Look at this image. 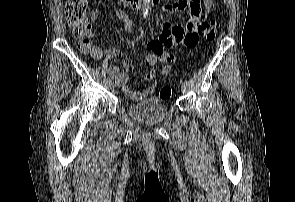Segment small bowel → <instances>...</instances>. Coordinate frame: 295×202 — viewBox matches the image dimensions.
Wrapping results in <instances>:
<instances>
[{
	"mask_svg": "<svg viewBox=\"0 0 295 202\" xmlns=\"http://www.w3.org/2000/svg\"><path fill=\"white\" fill-rule=\"evenodd\" d=\"M204 9L206 13L215 9V3L213 0H177L174 3L167 4L161 11V31L157 41H151L147 44L150 52H157L158 63H163L162 75H167L172 68V64L176 61V56L165 49H172L177 46H185L188 48L194 47L198 41L199 34L204 31L207 25L206 19L202 18L201 9ZM187 10L189 13V19L186 24H173L170 20L171 14ZM99 15L98 9H92L90 16L92 19H96ZM117 16L124 23L126 31L131 29L132 23L127 18L123 11H118ZM90 54L95 59H101L103 57L109 59L120 55V52L115 49L103 50L100 47L92 46ZM148 56V54H147ZM124 66H129V61H124ZM108 74L115 80L116 84L120 87L122 93L130 100L139 102L149 97L154 90H149V86L142 90L133 91L127 86V75L119 72L115 66L107 68ZM155 75L144 74V79L149 81L154 79Z\"/></svg>",
	"mask_w": 295,
	"mask_h": 202,
	"instance_id": "small-bowel-1",
	"label": "small bowel"
}]
</instances>
